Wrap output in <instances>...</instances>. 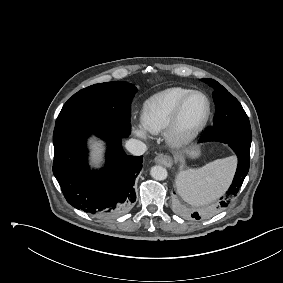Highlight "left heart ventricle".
Masks as SVG:
<instances>
[{
	"mask_svg": "<svg viewBox=\"0 0 283 283\" xmlns=\"http://www.w3.org/2000/svg\"><path fill=\"white\" fill-rule=\"evenodd\" d=\"M205 101L199 95L190 97L185 103L179 120L181 132H187L194 128L203 118L205 113Z\"/></svg>",
	"mask_w": 283,
	"mask_h": 283,
	"instance_id": "b2bd125f",
	"label": "left heart ventricle"
}]
</instances>
